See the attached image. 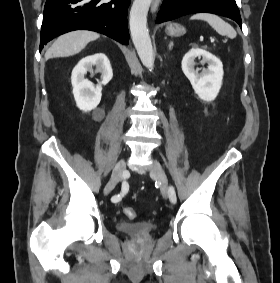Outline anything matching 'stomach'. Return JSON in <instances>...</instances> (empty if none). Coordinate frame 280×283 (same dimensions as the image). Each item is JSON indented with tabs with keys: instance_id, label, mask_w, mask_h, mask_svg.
I'll list each match as a JSON object with an SVG mask.
<instances>
[{
	"instance_id": "obj_1",
	"label": "stomach",
	"mask_w": 280,
	"mask_h": 283,
	"mask_svg": "<svg viewBox=\"0 0 280 283\" xmlns=\"http://www.w3.org/2000/svg\"><path fill=\"white\" fill-rule=\"evenodd\" d=\"M186 32L185 28L178 23H169L166 26V33L172 37H178L184 35Z\"/></svg>"
}]
</instances>
